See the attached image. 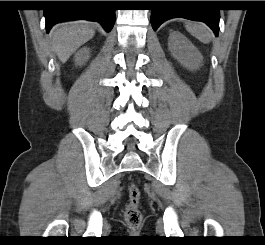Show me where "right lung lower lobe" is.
Here are the masks:
<instances>
[{
  "instance_id": "obj_1",
  "label": "right lung lower lobe",
  "mask_w": 265,
  "mask_h": 245,
  "mask_svg": "<svg viewBox=\"0 0 265 245\" xmlns=\"http://www.w3.org/2000/svg\"><path fill=\"white\" fill-rule=\"evenodd\" d=\"M54 5L44 10L47 31L58 22L76 19L98 21L107 32L114 26L115 9L111 1H55Z\"/></svg>"
}]
</instances>
